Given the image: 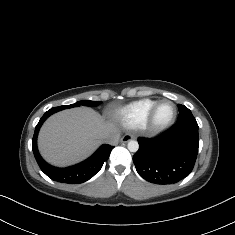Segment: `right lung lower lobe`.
<instances>
[{
	"label": "right lung lower lobe",
	"instance_id": "right-lung-lower-lobe-1",
	"mask_svg": "<svg viewBox=\"0 0 235 235\" xmlns=\"http://www.w3.org/2000/svg\"><path fill=\"white\" fill-rule=\"evenodd\" d=\"M53 113L55 112L52 109L48 110L35 128L32 140V149L35 159L40 169L52 180L70 184L83 183L92 178L102 168L103 163L109 158L113 146L104 144L87 160L71 167L57 168L51 166L43 160L38 152L37 136L43 122Z\"/></svg>",
	"mask_w": 235,
	"mask_h": 235
}]
</instances>
